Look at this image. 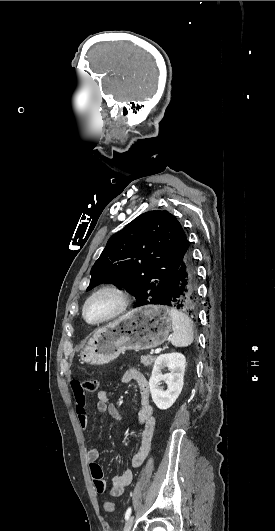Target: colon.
I'll return each mask as SVG.
<instances>
[{"label": "colon", "instance_id": "1", "mask_svg": "<svg viewBox=\"0 0 275 531\" xmlns=\"http://www.w3.org/2000/svg\"><path fill=\"white\" fill-rule=\"evenodd\" d=\"M99 380L97 378L85 380V392L95 393L98 390ZM105 508L108 512L115 510V504L111 501L105 503Z\"/></svg>", "mask_w": 275, "mask_h": 531}]
</instances>
